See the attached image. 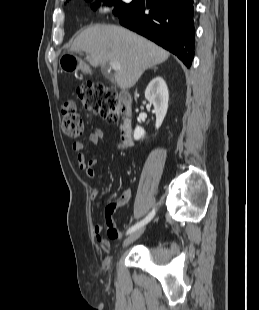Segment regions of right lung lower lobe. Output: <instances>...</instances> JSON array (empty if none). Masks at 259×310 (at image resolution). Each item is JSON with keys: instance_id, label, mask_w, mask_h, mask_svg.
<instances>
[{"instance_id": "98d812e1", "label": "right lung lower lobe", "mask_w": 259, "mask_h": 310, "mask_svg": "<svg viewBox=\"0 0 259 310\" xmlns=\"http://www.w3.org/2000/svg\"><path fill=\"white\" fill-rule=\"evenodd\" d=\"M145 9L149 10L144 14ZM120 23L175 54L189 68L194 57L193 0L135 1Z\"/></svg>"}]
</instances>
